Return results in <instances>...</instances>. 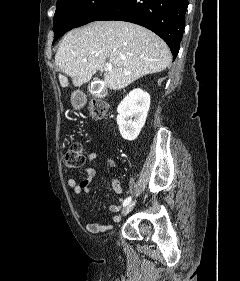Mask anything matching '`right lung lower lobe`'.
<instances>
[{
    "label": "right lung lower lobe",
    "mask_w": 240,
    "mask_h": 281,
    "mask_svg": "<svg viewBox=\"0 0 240 281\" xmlns=\"http://www.w3.org/2000/svg\"><path fill=\"white\" fill-rule=\"evenodd\" d=\"M188 0H117L95 21L120 20L144 26L170 47L173 59L179 52Z\"/></svg>",
    "instance_id": "98d812e1"
}]
</instances>
